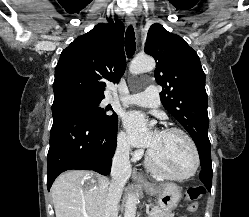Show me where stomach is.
I'll list each match as a JSON object with an SVG mask.
<instances>
[{
    "instance_id": "stomach-1",
    "label": "stomach",
    "mask_w": 249,
    "mask_h": 217,
    "mask_svg": "<svg viewBox=\"0 0 249 217\" xmlns=\"http://www.w3.org/2000/svg\"><path fill=\"white\" fill-rule=\"evenodd\" d=\"M143 190L147 194L157 196L158 205L165 212H170L176 208L182 197L180 188L174 183L162 186L148 184L143 187Z\"/></svg>"
}]
</instances>
